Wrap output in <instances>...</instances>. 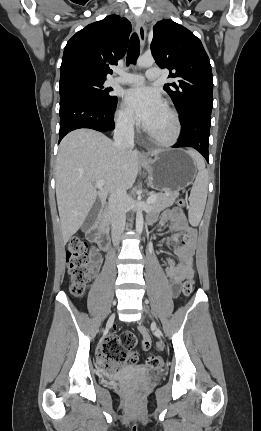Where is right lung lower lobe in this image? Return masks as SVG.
<instances>
[{
	"mask_svg": "<svg viewBox=\"0 0 261 431\" xmlns=\"http://www.w3.org/2000/svg\"><path fill=\"white\" fill-rule=\"evenodd\" d=\"M116 105L117 99L110 104H101L83 93L60 92L59 142L67 133L79 128L111 132L115 127Z\"/></svg>",
	"mask_w": 261,
	"mask_h": 431,
	"instance_id": "1",
	"label": "right lung lower lobe"
}]
</instances>
